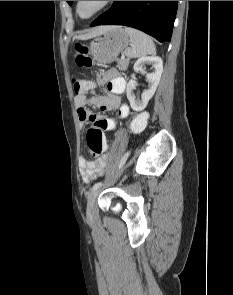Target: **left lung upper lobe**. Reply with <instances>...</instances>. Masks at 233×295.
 I'll use <instances>...</instances> for the list:
<instances>
[{"instance_id": "5c2ea615", "label": "left lung upper lobe", "mask_w": 233, "mask_h": 295, "mask_svg": "<svg viewBox=\"0 0 233 295\" xmlns=\"http://www.w3.org/2000/svg\"><path fill=\"white\" fill-rule=\"evenodd\" d=\"M67 2H68V4H69V5H71V4H72V1H67Z\"/></svg>"}]
</instances>
